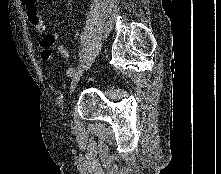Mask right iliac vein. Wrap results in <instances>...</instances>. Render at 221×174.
<instances>
[{"instance_id": "right-iliac-vein-1", "label": "right iliac vein", "mask_w": 221, "mask_h": 174, "mask_svg": "<svg viewBox=\"0 0 221 174\" xmlns=\"http://www.w3.org/2000/svg\"><path fill=\"white\" fill-rule=\"evenodd\" d=\"M83 69H84V64L81 65L80 67H78V69L74 72L72 80H71V84H70V94H72L82 76L83 73Z\"/></svg>"}]
</instances>
